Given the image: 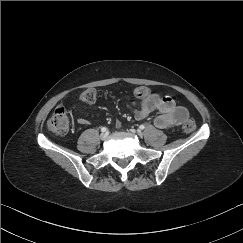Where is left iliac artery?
I'll return each instance as SVG.
<instances>
[{"mask_svg": "<svg viewBox=\"0 0 243 243\" xmlns=\"http://www.w3.org/2000/svg\"><path fill=\"white\" fill-rule=\"evenodd\" d=\"M139 129L143 130V129H145V126L144 125H140Z\"/></svg>", "mask_w": 243, "mask_h": 243, "instance_id": "44dca946", "label": "left iliac artery"}]
</instances>
